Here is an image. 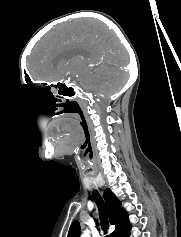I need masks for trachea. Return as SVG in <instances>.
Returning <instances> with one entry per match:
<instances>
[{
  "mask_svg": "<svg viewBox=\"0 0 181 237\" xmlns=\"http://www.w3.org/2000/svg\"><path fill=\"white\" fill-rule=\"evenodd\" d=\"M93 199L99 209L100 225L104 233L106 234L109 228V222H108V217H107L104 201L96 190L93 191Z\"/></svg>",
  "mask_w": 181,
  "mask_h": 237,
  "instance_id": "3493384b",
  "label": "trachea"
}]
</instances>
